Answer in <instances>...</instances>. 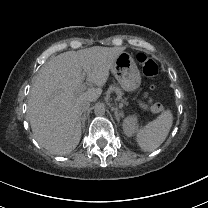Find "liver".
<instances>
[{
  "label": "liver",
  "instance_id": "liver-1",
  "mask_svg": "<svg viewBox=\"0 0 208 208\" xmlns=\"http://www.w3.org/2000/svg\"><path fill=\"white\" fill-rule=\"evenodd\" d=\"M125 47H90L67 51L46 62L35 78L27 117L35 140L52 154L65 155L80 142V98L96 102L103 93L110 70ZM82 71L97 86L82 91Z\"/></svg>",
  "mask_w": 208,
  "mask_h": 208
}]
</instances>
